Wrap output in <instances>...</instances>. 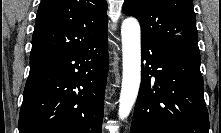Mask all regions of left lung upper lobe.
Wrapping results in <instances>:
<instances>
[{
    "label": "left lung upper lobe",
    "mask_w": 221,
    "mask_h": 133,
    "mask_svg": "<svg viewBox=\"0 0 221 133\" xmlns=\"http://www.w3.org/2000/svg\"><path fill=\"white\" fill-rule=\"evenodd\" d=\"M123 12L138 19L142 39L199 52L192 0H125Z\"/></svg>",
    "instance_id": "5c2ea615"
}]
</instances>
